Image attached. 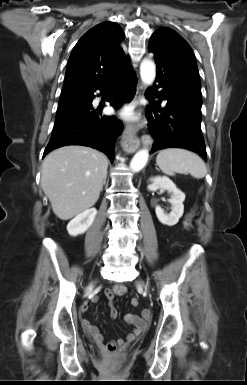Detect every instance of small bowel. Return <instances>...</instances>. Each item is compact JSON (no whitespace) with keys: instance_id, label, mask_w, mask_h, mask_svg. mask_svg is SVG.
<instances>
[{"instance_id":"obj_1","label":"small bowel","mask_w":247,"mask_h":385,"mask_svg":"<svg viewBox=\"0 0 247 385\" xmlns=\"http://www.w3.org/2000/svg\"><path fill=\"white\" fill-rule=\"evenodd\" d=\"M126 291V288L122 285H116L112 289H106L104 294L107 297L109 301L110 306V317L112 319L117 318L118 311L113 305V298L115 295H122ZM98 300V296H92L87 302H85L81 306V313H84L90 303L96 302ZM151 318V312L147 309L142 310L139 315H134L131 313H128L124 316V320L127 324L133 326V331L129 333L125 339H118L115 341H112L111 343L106 344L104 342V337L102 333L99 331L98 327H96L94 324H92L88 319L82 318V325L84 329L89 333V335L94 339V341L102 348L108 347L109 344L114 345L115 347L122 348L125 347L130 342L134 341L141 332L145 329L147 326L149 320Z\"/></svg>"}]
</instances>
